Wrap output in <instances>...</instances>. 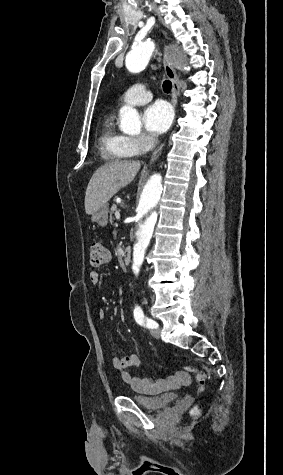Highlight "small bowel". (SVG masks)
I'll return each instance as SVG.
<instances>
[{"mask_svg":"<svg viewBox=\"0 0 283 475\" xmlns=\"http://www.w3.org/2000/svg\"><path fill=\"white\" fill-rule=\"evenodd\" d=\"M100 273L98 271H91L89 274V280L92 284L97 285L100 283ZM98 317L101 320H105L107 318V311L103 308L99 309ZM112 366L118 370L121 374V377L124 382L128 383L133 389L139 390L144 385L149 383V380L141 379L131 372L127 370V368L132 366H138L140 363V359L135 354H128L125 356H114L111 360ZM168 380L172 383L173 387H179L181 385H185L182 381L180 374H175L173 376L168 377ZM157 384L162 385L165 382L164 377L159 376L156 379ZM189 384V383H188Z\"/></svg>","mask_w":283,"mask_h":475,"instance_id":"1","label":"small bowel"}]
</instances>
